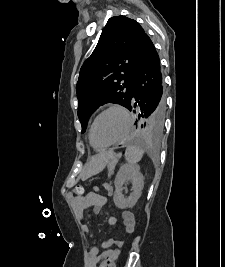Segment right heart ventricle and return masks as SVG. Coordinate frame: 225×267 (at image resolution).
<instances>
[{
  "label": "right heart ventricle",
  "instance_id": "obj_1",
  "mask_svg": "<svg viewBox=\"0 0 225 267\" xmlns=\"http://www.w3.org/2000/svg\"><path fill=\"white\" fill-rule=\"evenodd\" d=\"M88 138H89V141H90L89 133H88ZM90 143H91V141H90ZM91 145H92V143H91ZM92 147H93L94 149H96V150H102V149H103V148L96 147V146H94V145H92Z\"/></svg>",
  "mask_w": 225,
  "mask_h": 267
}]
</instances>
